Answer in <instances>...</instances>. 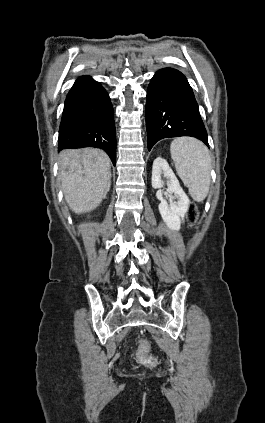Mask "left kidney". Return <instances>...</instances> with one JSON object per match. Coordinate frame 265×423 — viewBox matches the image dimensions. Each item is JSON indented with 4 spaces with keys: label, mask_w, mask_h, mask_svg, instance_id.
<instances>
[{
    "label": "left kidney",
    "mask_w": 265,
    "mask_h": 423,
    "mask_svg": "<svg viewBox=\"0 0 265 423\" xmlns=\"http://www.w3.org/2000/svg\"><path fill=\"white\" fill-rule=\"evenodd\" d=\"M162 174H164L167 179L169 203L163 198L161 190L163 187ZM152 187L158 189L156 197L160 200L158 208L163 221L171 230L178 231L181 226V221L188 210L190 201L181 188L168 162L162 157H157L153 162Z\"/></svg>",
    "instance_id": "left-kidney-1"
}]
</instances>
